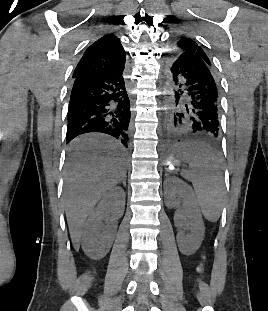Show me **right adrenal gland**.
<instances>
[{"instance_id":"2a0ac1e0","label":"right adrenal gland","mask_w":268,"mask_h":311,"mask_svg":"<svg viewBox=\"0 0 268 311\" xmlns=\"http://www.w3.org/2000/svg\"><path fill=\"white\" fill-rule=\"evenodd\" d=\"M121 182L123 183L124 187H126V178H123Z\"/></svg>"}]
</instances>
